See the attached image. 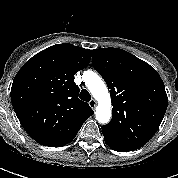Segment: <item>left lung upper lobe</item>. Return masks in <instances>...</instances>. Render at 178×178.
<instances>
[{
  "instance_id": "1",
  "label": "left lung upper lobe",
  "mask_w": 178,
  "mask_h": 178,
  "mask_svg": "<svg viewBox=\"0 0 178 178\" xmlns=\"http://www.w3.org/2000/svg\"><path fill=\"white\" fill-rule=\"evenodd\" d=\"M92 64L110 89L112 120L102 127L105 142L125 150L145 145L158 130L168 98L148 63L119 48L92 50Z\"/></svg>"
}]
</instances>
